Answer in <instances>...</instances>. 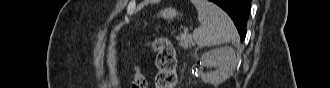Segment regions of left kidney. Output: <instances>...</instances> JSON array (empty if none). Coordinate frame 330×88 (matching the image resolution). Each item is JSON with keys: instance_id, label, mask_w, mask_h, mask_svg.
Returning <instances> with one entry per match:
<instances>
[{"instance_id": "5707ae66", "label": "left kidney", "mask_w": 330, "mask_h": 88, "mask_svg": "<svg viewBox=\"0 0 330 88\" xmlns=\"http://www.w3.org/2000/svg\"><path fill=\"white\" fill-rule=\"evenodd\" d=\"M202 66L215 67L216 70L201 74L205 83L218 85L225 81L235 70L237 60L235 51L230 46L220 47L206 52L202 58Z\"/></svg>"}]
</instances>
